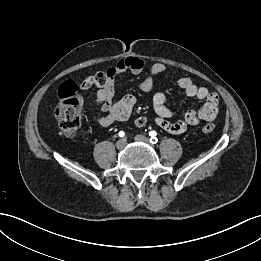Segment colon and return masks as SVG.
Returning <instances> with one entry per match:
<instances>
[{"mask_svg": "<svg viewBox=\"0 0 261 261\" xmlns=\"http://www.w3.org/2000/svg\"><path fill=\"white\" fill-rule=\"evenodd\" d=\"M90 87L102 88L106 84L104 72H99L90 77ZM59 102L54 110L61 131L67 136H75L81 125L82 97L78 92V86L72 81L64 82L58 90ZM146 119L139 118L136 125H145ZM203 132L211 133L215 130L214 123H207L202 128Z\"/></svg>", "mask_w": 261, "mask_h": 261, "instance_id": "1", "label": "colon"}]
</instances>
